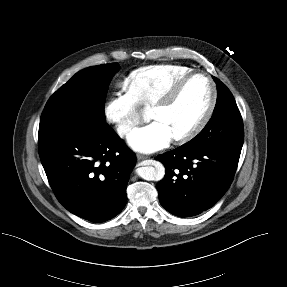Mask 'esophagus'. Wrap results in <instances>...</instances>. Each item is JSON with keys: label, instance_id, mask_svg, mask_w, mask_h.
I'll return each mask as SVG.
<instances>
[{"label": "esophagus", "instance_id": "1", "mask_svg": "<svg viewBox=\"0 0 287 287\" xmlns=\"http://www.w3.org/2000/svg\"><path fill=\"white\" fill-rule=\"evenodd\" d=\"M146 158H147V157L144 156V155L137 154V160H138V161L144 160V159H146Z\"/></svg>", "mask_w": 287, "mask_h": 287}]
</instances>
